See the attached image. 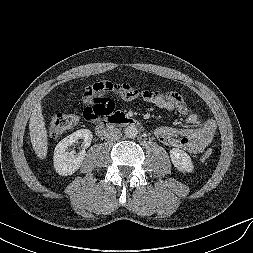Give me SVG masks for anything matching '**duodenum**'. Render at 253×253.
Returning <instances> with one entry per match:
<instances>
[{"mask_svg": "<svg viewBox=\"0 0 253 253\" xmlns=\"http://www.w3.org/2000/svg\"><path fill=\"white\" fill-rule=\"evenodd\" d=\"M138 123L139 122L136 119L131 118V117L127 116L126 114H124L122 112H116V113H113L108 118H106L105 120H103L102 122H100L96 126V133L99 136H105L114 127H117V126H132V125H136Z\"/></svg>", "mask_w": 253, "mask_h": 253, "instance_id": "duodenum-1", "label": "duodenum"}]
</instances>
